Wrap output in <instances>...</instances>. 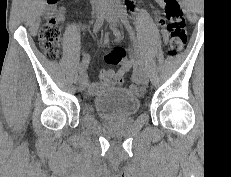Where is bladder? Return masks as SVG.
Returning a JSON list of instances; mask_svg holds the SVG:
<instances>
[{
  "mask_svg": "<svg viewBox=\"0 0 231 177\" xmlns=\"http://www.w3.org/2000/svg\"><path fill=\"white\" fill-rule=\"evenodd\" d=\"M97 114L105 119H124L135 115L139 99L124 88L110 87L102 90L93 101Z\"/></svg>",
  "mask_w": 231,
  "mask_h": 177,
  "instance_id": "1",
  "label": "bladder"
}]
</instances>
